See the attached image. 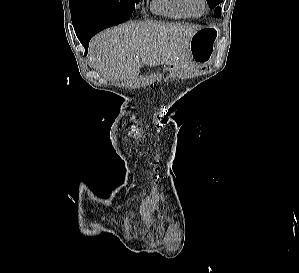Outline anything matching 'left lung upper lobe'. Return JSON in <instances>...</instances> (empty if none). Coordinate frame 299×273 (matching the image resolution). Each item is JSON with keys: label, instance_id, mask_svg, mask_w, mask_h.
I'll return each mask as SVG.
<instances>
[{"label": "left lung upper lobe", "instance_id": "left-lung-upper-lobe-1", "mask_svg": "<svg viewBox=\"0 0 299 273\" xmlns=\"http://www.w3.org/2000/svg\"><path fill=\"white\" fill-rule=\"evenodd\" d=\"M223 0H207V3L209 4L210 9L214 10V14L217 17L221 16V7H219L220 3Z\"/></svg>", "mask_w": 299, "mask_h": 273}]
</instances>
